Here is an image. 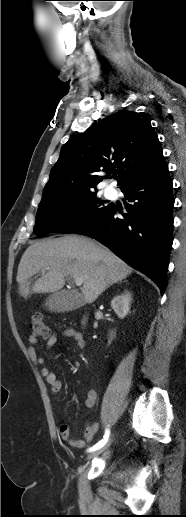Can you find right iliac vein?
I'll use <instances>...</instances> for the list:
<instances>
[{
	"instance_id": "right-iliac-vein-1",
	"label": "right iliac vein",
	"mask_w": 186,
	"mask_h": 517,
	"mask_svg": "<svg viewBox=\"0 0 186 517\" xmlns=\"http://www.w3.org/2000/svg\"><path fill=\"white\" fill-rule=\"evenodd\" d=\"M110 443H111V440L108 443H106L103 447L90 452L87 455V460H91V459L95 458L96 456L100 455L105 449H107L109 447Z\"/></svg>"
}]
</instances>
